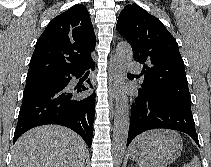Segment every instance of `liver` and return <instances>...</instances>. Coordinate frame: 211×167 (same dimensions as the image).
Listing matches in <instances>:
<instances>
[{"mask_svg":"<svg viewBox=\"0 0 211 167\" xmlns=\"http://www.w3.org/2000/svg\"><path fill=\"white\" fill-rule=\"evenodd\" d=\"M85 154V142L78 134L59 125H44L17 140L10 167H83Z\"/></svg>","mask_w":211,"mask_h":167,"instance_id":"liver-1","label":"liver"}]
</instances>
